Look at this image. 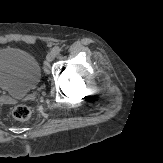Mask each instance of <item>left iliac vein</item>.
Wrapping results in <instances>:
<instances>
[{
    "mask_svg": "<svg viewBox=\"0 0 163 163\" xmlns=\"http://www.w3.org/2000/svg\"><path fill=\"white\" fill-rule=\"evenodd\" d=\"M56 56V52L54 50L50 51L47 55V61L45 63V68L47 69L49 66V62L53 61Z\"/></svg>",
    "mask_w": 163,
    "mask_h": 163,
    "instance_id": "left-iliac-vein-1",
    "label": "left iliac vein"
}]
</instances>
